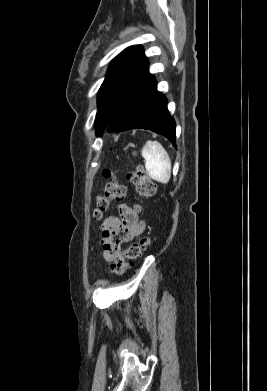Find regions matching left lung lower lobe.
<instances>
[{"instance_id":"left-lung-lower-lobe-1","label":"left lung lower lobe","mask_w":267,"mask_h":391,"mask_svg":"<svg viewBox=\"0 0 267 391\" xmlns=\"http://www.w3.org/2000/svg\"><path fill=\"white\" fill-rule=\"evenodd\" d=\"M156 85L155 77L148 73L119 104L108 131L146 129L163 135L176 147L175 121L167 110V98Z\"/></svg>"}]
</instances>
